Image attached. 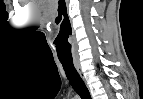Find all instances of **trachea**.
<instances>
[{
    "label": "trachea",
    "instance_id": "obj_1",
    "mask_svg": "<svg viewBox=\"0 0 143 99\" xmlns=\"http://www.w3.org/2000/svg\"><path fill=\"white\" fill-rule=\"evenodd\" d=\"M65 74L76 93L81 97V99H91L89 90L87 89L84 81L78 74L76 68L74 67L73 61L71 60H60Z\"/></svg>",
    "mask_w": 143,
    "mask_h": 99
}]
</instances>
